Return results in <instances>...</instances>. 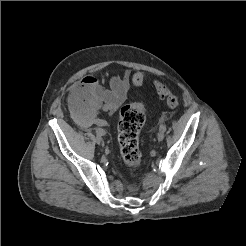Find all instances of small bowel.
<instances>
[{
	"label": "small bowel",
	"mask_w": 246,
	"mask_h": 246,
	"mask_svg": "<svg viewBox=\"0 0 246 246\" xmlns=\"http://www.w3.org/2000/svg\"><path fill=\"white\" fill-rule=\"evenodd\" d=\"M129 87L128 72L112 77L109 89L103 88L94 76H85L69 91V107L74 121L81 128L105 127L107 122L100 113L115 114L127 100Z\"/></svg>",
	"instance_id": "obj_1"
}]
</instances>
